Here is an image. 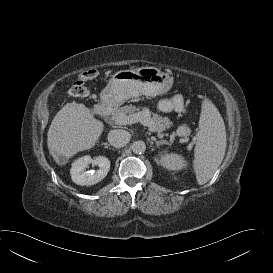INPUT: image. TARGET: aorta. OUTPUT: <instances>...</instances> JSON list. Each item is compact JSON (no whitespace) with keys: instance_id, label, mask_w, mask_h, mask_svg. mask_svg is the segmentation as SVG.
I'll return each mask as SVG.
<instances>
[{"instance_id":"1","label":"aorta","mask_w":273,"mask_h":273,"mask_svg":"<svg viewBox=\"0 0 273 273\" xmlns=\"http://www.w3.org/2000/svg\"><path fill=\"white\" fill-rule=\"evenodd\" d=\"M131 149L135 154H142L146 150V144L144 141L138 140L131 145Z\"/></svg>"}]
</instances>
